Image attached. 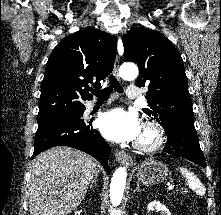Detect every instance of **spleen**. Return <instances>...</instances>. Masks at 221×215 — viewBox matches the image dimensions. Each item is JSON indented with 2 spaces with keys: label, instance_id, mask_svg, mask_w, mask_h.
Listing matches in <instances>:
<instances>
[{
  "label": "spleen",
  "instance_id": "1",
  "mask_svg": "<svg viewBox=\"0 0 221 215\" xmlns=\"http://www.w3.org/2000/svg\"><path fill=\"white\" fill-rule=\"evenodd\" d=\"M179 170L183 176L186 177L188 186L192 188L199 196H203L205 194V188L195 174L184 167H180Z\"/></svg>",
  "mask_w": 221,
  "mask_h": 215
}]
</instances>
